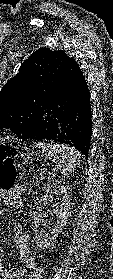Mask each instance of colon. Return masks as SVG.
Returning a JSON list of instances; mask_svg holds the SVG:
<instances>
[{"instance_id":"5ec220e1","label":"colon","mask_w":113,"mask_h":279,"mask_svg":"<svg viewBox=\"0 0 113 279\" xmlns=\"http://www.w3.org/2000/svg\"><path fill=\"white\" fill-rule=\"evenodd\" d=\"M12 157V146H0V188L7 192H12L17 187L18 169Z\"/></svg>"}]
</instances>
